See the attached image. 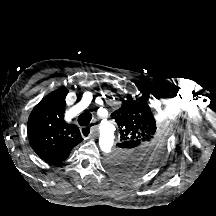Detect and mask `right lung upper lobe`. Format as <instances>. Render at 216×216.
I'll return each mask as SVG.
<instances>
[{
	"instance_id": "1",
	"label": "right lung upper lobe",
	"mask_w": 216,
	"mask_h": 216,
	"mask_svg": "<svg viewBox=\"0 0 216 216\" xmlns=\"http://www.w3.org/2000/svg\"><path fill=\"white\" fill-rule=\"evenodd\" d=\"M66 88L57 89L32 110L27 125L30 145L49 164L64 161L83 139L77 126L64 121Z\"/></svg>"
}]
</instances>
